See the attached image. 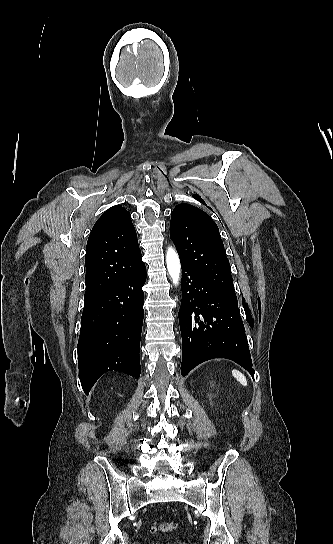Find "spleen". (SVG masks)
Listing matches in <instances>:
<instances>
[{
  "label": "spleen",
  "mask_w": 333,
  "mask_h": 544,
  "mask_svg": "<svg viewBox=\"0 0 333 544\" xmlns=\"http://www.w3.org/2000/svg\"><path fill=\"white\" fill-rule=\"evenodd\" d=\"M233 377L243 386H247V380L244 374L238 370H232Z\"/></svg>",
  "instance_id": "obj_1"
}]
</instances>
